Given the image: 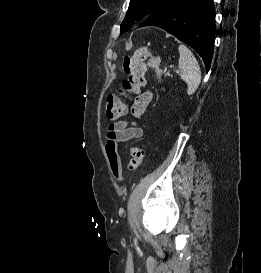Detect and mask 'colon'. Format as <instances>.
<instances>
[{
	"label": "colon",
	"mask_w": 261,
	"mask_h": 273,
	"mask_svg": "<svg viewBox=\"0 0 261 273\" xmlns=\"http://www.w3.org/2000/svg\"><path fill=\"white\" fill-rule=\"evenodd\" d=\"M152 68L160 75V57L155 55L149 46L138 48L132 55L123 60V69L127 78L122 82L117 95H110L106 100V116L110 120H116L127 112L126 98L137 93L145 85L147 68ZM144 159V151L139 147L130 149L128 170L137 169Z\"/></svg>",
	"instance_id": "1"
}]
</instances>
